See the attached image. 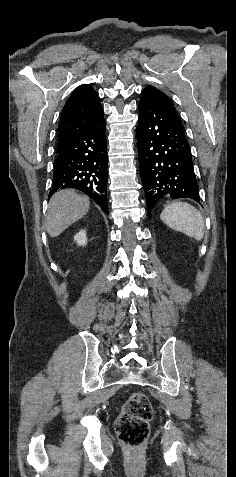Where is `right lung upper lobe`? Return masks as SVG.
<instances>
[{
	"instance_id": "1",
	"label": "right lung upper lobe",
	"mask_w": 236,
	"mask_h": 477,
	"mask_svg": "<svg viewBox=\"0 0 236 477\" xmlns=\"http://www.w3.org/2000/svg\"><path fill=\"white\" fill-rule=\"evenodd\" d=\"M102 117V107L95 90L87 84L76 88L62 110L58 147L78 137Z\"/></svg>"
}]
</instances>
